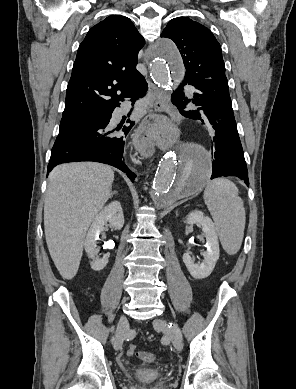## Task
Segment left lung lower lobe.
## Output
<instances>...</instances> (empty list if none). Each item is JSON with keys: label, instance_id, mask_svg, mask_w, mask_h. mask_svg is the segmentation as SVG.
<instances>
[{"label": "left lung lower lobe", "instance_id": "1", "mask_svg": "<svg viewBox=\"0 0 296 389\" xmlns=\"http://www.w3.org/2000/svg\"><path fill=\"white\" fill-rule=\"evenodd\" d=\"M188 84L195 87L192 102L198 106V109L183 110L190 100L181 93L182 89H177L173 93V103L184 117L200 120L215 131L212 137L211 179L236 176L249 186L247 166L233 114L227 79H219L217 82L204 79Z\"/></svg>", "mask_w": 296, "mask_h": 389}]
</instances>
